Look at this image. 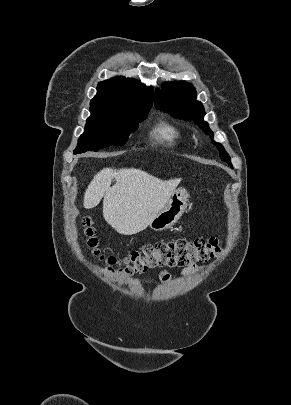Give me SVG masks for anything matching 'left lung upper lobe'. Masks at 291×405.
Instances as JSON below:
<instances>
[{
  "label": "left lung upper lobe",
  "instance_id": "1",
  "mask_svg": "<svg viewBox=\"0 0 291 405\" xmlns=\"http://www.w3.org/2000/svg\"><path fill=\"white\" fill-rule=\"evenodd\" d=\"M195 88L183 81L166 83L162 90L155 92V106L157 109L170 113L175 118L193 120L206 134L213 138L207 122L203 120L205 115L201 102L196 100ZM215 144L220 152V158L231 167V159L220 143Z\"/></svg>",
  "mask_w": 291,
  "mask_h": 405
}]
</instances>
